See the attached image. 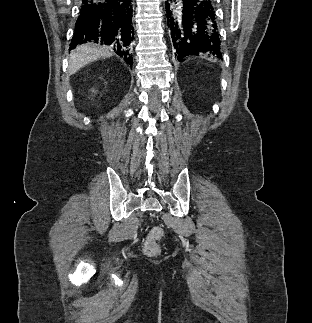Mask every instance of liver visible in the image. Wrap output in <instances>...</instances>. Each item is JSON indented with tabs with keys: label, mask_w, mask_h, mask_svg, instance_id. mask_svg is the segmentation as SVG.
<instances>
[{
	"label": "liver",
	"mask_w": 312,
	"mask_h": 323,
	"mask_svg": "<svg viewBox=\"0 0 312 323\" xmlns=\"http://www.w3.org/2000/svg\"><path fill=\"white\" fill-rule=\"evenodd\" d=\"M102 56H112L110 48H105V46H96V44H82V46H77L75 50H72L69 56V66L68 74H75L90 62L102 58Z\"/></svg>",
	"instance_id": "6515ba94"
}]
</instances>
